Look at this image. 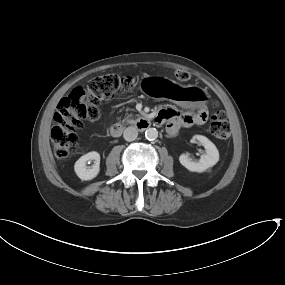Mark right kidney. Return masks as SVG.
I'll return each mask as SVG.
<instances>
[{"instance_id":"right-kidney-1","label":"right kidney","mask_w":285,"mask_h":285,"mask_svg":"<svg viewBox=\"0 0 285 285\" xmlns=\"http://www.w3.org/2000/svg\"><path fill=\"white\" fill-rule=\"evenodd\" d=\"M94 160L92 166H86L87 162ZM100 154L96 151L81 156L74 165V170L81 180H92L100 171Z\"/></svg>"}]
</instances>
